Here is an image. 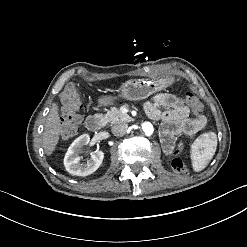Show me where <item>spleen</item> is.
Segmentation results:
<instances>
[{
    "label": "spleen",
    "instance_id": "3e777b00",
    "mask_svg": "<svg viewBox=\"0 0 247 247\" xmlns=\"http://www.w3.org/2000/svg\"><path fill=\"white\" fill-rule=\"evenodd\" d=\"M201 140H203V150H199L197 145ZM216 145L217 135L213 132L206 133L196 140L191 154L193 169L196 172L203 170L207 166L212 158V149L215 150Z\"/></svg>",
    "mask_w": 247,
    "mask_h": 247
}]
</instances>
